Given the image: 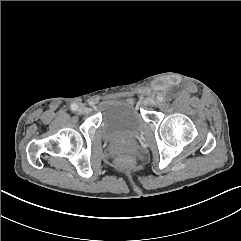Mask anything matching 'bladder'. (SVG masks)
<instances>
[{"label": "bladder", "mask_w": 241, "mask_h": 241, "mask_svg": "<svg viewBox=\"0 0 241 241\" xmlns=\"http://www.w3.org/2000/svg\"><path fill=\"white\" fill-rule=\"evenodd\" d=\"M102 138L116 145H133L145 131V122L134 105L123 99L106 101L100 108Z\"/></svg>", "instance_id": "obj_1"}]
</instances>
